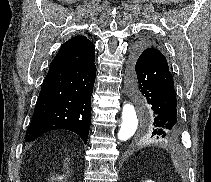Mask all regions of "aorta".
<instances>
[{
    "mask_svg": "<svg viewBox=\"0 0 211 182\" xmlns=\"http://www.w3.org/2000/svg\"><path fill=\"white\" fill-rule=\"evenodd\" d=\"M138 126V116L131 103H125L122 109V123L118 131V139L126 141L136 132Z\"/></svg>",
    "mask_w": 211,
    "mask_h": 182,
    "instance_id": "obj_1",
    "label": "aorta"
}]
</instances>
